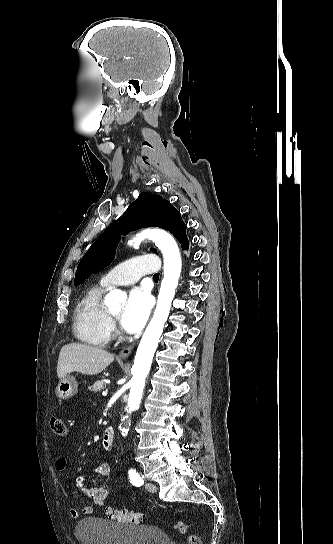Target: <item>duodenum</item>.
Returning a JSON list of instances; mask_svg holds the SVG:
<instances>
[{
    "label": "duodenum",
    "mask_w": 333,
    "mask_h": 544,
    "mask_svg": "<svg viewBox=\"0 0 333 544\" xmlns=\"http://www.w3.org/2000/svg\"><path fill=\"white\" fill-rule=\"evenodd\" d=\"M115 434L112 427H108L102 437V445L105 450H111L114 446Z\"/></svg>",
    "instance_id": "obj_1"
}]
</instances>
